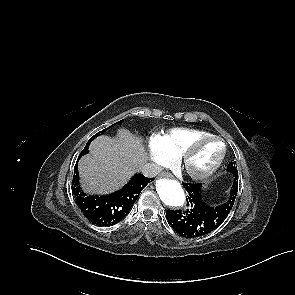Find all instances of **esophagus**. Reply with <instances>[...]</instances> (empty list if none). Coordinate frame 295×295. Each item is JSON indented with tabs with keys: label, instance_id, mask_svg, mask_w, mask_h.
<instances>
[{
	"label": "esophagus",
	"instance_id": "esophagus-1",
	"mask_svg": "<svg viewBox=\"0 0 295 295\" xmlns=\"http://www.w3.org/2000/svg\"><path fill=\"white\" fill-rule=\"evenodd\" d=\"M160 176L161 177H167V178H171L172 177V175L170 173H168V172H162Z\"/></svg>",
	"mask_w": 295,
	"mask_h": 295
}]
</instances>
